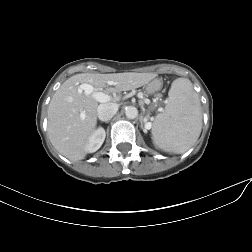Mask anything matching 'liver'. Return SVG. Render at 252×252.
I'll list each match as a JSON object with an SVG mask.
<instances>
[{
	"label": "liver",
	"mask_w": 252,
	"mask_h": 252,
	"mask_svg": "<svg viewBox=\"0 0 252 252\" xmlns=\"http://www.w3.org/2000/svg\"><path fill=\"white\" fill-rule=\"evenodd\" d=\"M153 78L151 73L134 72L82 73L68 78L55 92L48 107L47 132L52 145L71 161L82 160L87 154L86 145L96 128L99 103L92 94L81 91V84L116 93L139 88Z\"/></svg>",
	"instance_id": "liver-1"
}]
</instances>
